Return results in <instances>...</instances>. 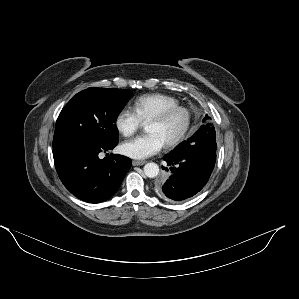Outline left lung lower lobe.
<instances>
[{
  "mask_svg": "<svg viewBox=\"0 0 299 299\" xmlns=\"http://www.w3.org/2000/svg\"><path fill=\"white\" fill-rule=\"evenodd\" d=\"M210 142L201 137L195 143H186L179 151L163 157L169 168V177L156 184L157 195L165 200L182 201L197 194L208 182L216 157L211 156Z\"/></svg>",
  "mask_w": 299,
  "mask_h": 299,
  "instance_id": "1",
  "label": "left lung lower lobe"
}]
</instances>
